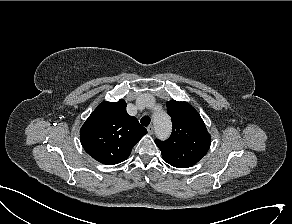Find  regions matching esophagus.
<instances>
[{
	"label": "esophagus",
	"mask_w": 292,
	"mask_h": 224,
	"mask_svg": "<svg viewBox=\"0 0 292 224\" xmlns=\"http://www.w3.org/2000/svg\"><path fill=\"white\" fill-rule=\"evenodd\" d=\"M148 134L152 135L154 133V128L152 125L148 126L147 128Z\"/></svg>",
	"instance_id": "obj_1"
}]
</instances>
